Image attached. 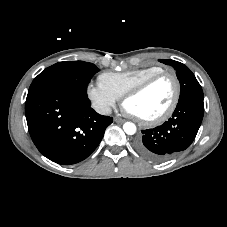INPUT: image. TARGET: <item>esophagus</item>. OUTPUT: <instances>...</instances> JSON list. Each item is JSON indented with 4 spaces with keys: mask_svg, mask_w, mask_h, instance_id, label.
<instances>
[{
    "mask_svg": "<svg viewBox=\"0 0 227 227\" xmlns=\"http://www.w3.org/2000/svg\"><path fill=\"white\" fill-rule=\"evenodd\" d=\"M114 121L116 123H124L125 122V120L124 119H121V118H114Z\"/></svg>",
    "mask_w": 227,
    "mask_h": 227,
    "instance_id": "esophagus-1",
    "label": "esophagus"
}]
</instances>
